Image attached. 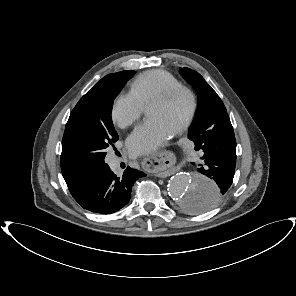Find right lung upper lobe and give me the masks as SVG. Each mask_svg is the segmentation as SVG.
Here are the masks:
<instances>
[{"instance_id": "right-lung-upper-lobe-1", "label": "right lung upper lobe", "mask_w": 296, "mask_h": 296, "mask_svg": "<svg viewBox=\"0 0 296 296\" xmlns=\"http://www.w3.org/2000/svg\"><path fill=\"white\" fill-rule=\"evenodd\" d=\"M71 179H72V178H66L65 181H69V180H71Z\"/></svg>"}]
</instances>
